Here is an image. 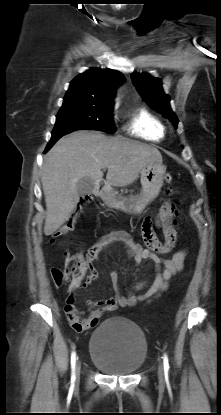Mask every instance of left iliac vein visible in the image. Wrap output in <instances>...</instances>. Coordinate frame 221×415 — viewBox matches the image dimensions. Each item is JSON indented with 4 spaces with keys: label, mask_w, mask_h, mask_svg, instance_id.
<instances>
[{
    "label": "left iliac vein",
    "mask_w": 221,
    "mask_h": 415,
    "mask_svg": "<svg viewBox=\"0 0 221 415\" xmlns=\"http://www.w3.org/2000/svg\"><path fill=\"white\" fill-rule=\"evenodd\" d=\"M158 377L160 381L164 380V372H163V367L162 365L159 366L158 368Z\"/></svg>",
    "instance_id": "left-iliac-vein-1"
}]
</instances>
